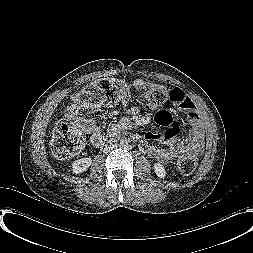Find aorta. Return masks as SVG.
Wrapping results in <instances>:
<instances>
[{
    "instance_id": "obj_1",
    "label": "aorta",
    "mask_w": 253,
    "mask_h": 253,
    "mask_svg": "<svg viewBox=\"0 0 253 253\" xmlns=\"http://www.w3.org/2000/svg\"><path fill=\"white\" fill-rule=\"evenodd\" d=\"M120 148L122 149V150H127L128 149V141L127 140H125V139H123V140H121L120 141Z\"/></svg>"
}]
</instances>
